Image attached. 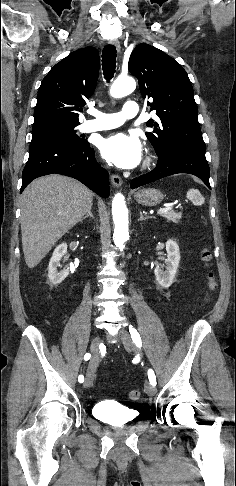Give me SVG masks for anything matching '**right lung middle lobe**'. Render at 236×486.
Segmentation results:
<instances>
[{
    "instance_id": "right-lung-middle-lobe-1",
    "label": "right lung middle lobe",
    "mask_w": 236,
    "mask_h": 486,
    "mask_svg": "<svg viewBox=\"0 0 236 486\" xmlns=\"http://www.w3.org/2000/svg\"><path fill=\"white\" fill-rule=\"evenodd\" d=\"M79 124H60L46 123L33 126L32 140L37 141H56L65 144H82L86 140L76 134V127Z\"/></svg>"
}]
</instances>
